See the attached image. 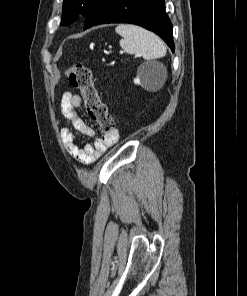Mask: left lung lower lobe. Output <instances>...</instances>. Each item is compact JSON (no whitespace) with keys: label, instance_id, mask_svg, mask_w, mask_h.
Instances as JSON below:
<instances>
[{"label":"left lung lower lobe","instance_id":"obj_1","mask_svg":"<svg viewBox=\"0 0 247 296\" xmlns=\"http://www.w3.org/2000/svg\"><path fill=\"white\" fill-rule=\"evenodd\" d=\"M107 23H130L159 35L175 51L173 28L165 12V0H102L86 16L83 30Z\"/></svg>","mask_w":247,"mask_h":296}]
</instances>
